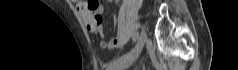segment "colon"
Listing matches in <instances>:
<instances>
[{
	"label": "colon",
	"instance_id": "obj_1",
	"mask_svg": "<svg viewBox=\"0 0 238 70\" xmlns=\"http://www.w3.org/2000/svg\"><path fill=\"white\" fill-rule=\"evenodd\" d=\"M90 2H91V5H95L96 3H98V2L95 1V0H90Z\"/></svg>",
	"mask_w": 238,
	"mask_h": 70
}]
</instances>
